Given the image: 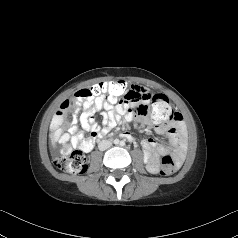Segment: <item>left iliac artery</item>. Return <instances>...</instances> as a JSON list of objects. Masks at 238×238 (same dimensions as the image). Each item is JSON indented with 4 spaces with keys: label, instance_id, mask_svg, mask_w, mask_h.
I'll list each match as a JSON object with an SVG mask.
<instances>
[{
    "label": "left iliac artery",
    "instance_id": "left-iliac-artery-1",
    "mask_svg": "<svg viewBox=\"0 0 238 238\" xmlns=\"http://www.w3.org/2000/svg\"><path fill=\"white\" fill-rule=\"evenodd\" d=\"M120 145H121V146H124V145H125V143L122 141V142L120 143Z\"/></svg>",
    "mask_w": 238,
    "mask_h": 238
}]
</instances>
